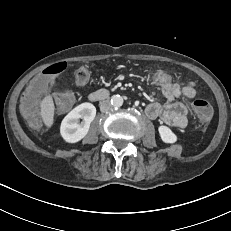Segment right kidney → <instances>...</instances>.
<instances>
[{"label": "right kidney", "mask_w": 231, "mask_h": 231, "mask_svg": "<svg viewBox=\"0 0 231 231\" xmlns=\"http://www.w3.org/2000/svg\"><path fill=\"white\" fill-rule=\"evenodd\" d=\"M96 116L93 104L85 102L70 111L62 120L60 133L67 143H77L88 133L91 122ZM82 119V122L79 120Z\"/></svg>", "instance_id": "obj_1"}]
</instances>
